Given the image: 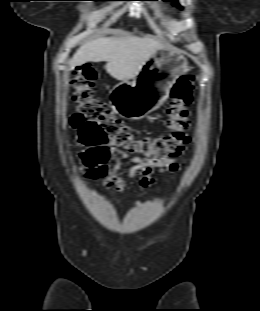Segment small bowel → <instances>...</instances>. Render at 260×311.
<instances>
[{
	"instance_id": "c3829d8e",
	"label": "small bowel",
	"mask_w": 260,
	"mask_h": 311,
	"mask_svg": "<svg viewBox=\"0 0 260 311\" xmlns=\"http://www.w3.org/2000/svg\"><path fill=\"white\" fill-rule=\"evenodd\" d=\"M109 149L113 155L110 168H108L107 165H104L95 171L88 170L84 173L89 179L106 176L104 186L119 193L127 192L137 183L144 188L151 186L154 183V169H158L159 171L169 170L171 172H175L179 169V163L174 158L156 160L154 158L142 156L131 158L130 162L124 166L118 157L115 147L109 145ZM125 170H127L128 175L131 178L130 182H126L124 179ZM138 175H141L140 179H137Z\"/></svg>"
}]
</instances>
